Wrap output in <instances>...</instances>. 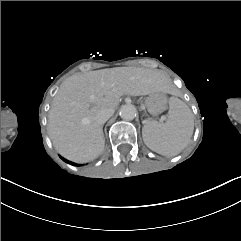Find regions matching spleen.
<instances>
[{
  "instance_id": "spleen-1",
  "label": "spleen",
  "mask_w": 241,
  "mask_h": 241,
  "mask_svg": "<svg viewBox=\"0 0 241 241\" xmlns=\"http://www.w3.org/2000/svg\"><path fill=\"white\" fill-rule=\"evenodd\" d=\"M169 106L166 123L150 121L142 128L146 146L164 156L179 154L187 146L194 130L193 114L182 100L171 97Z\"/></svg>"
}]
</instances>
